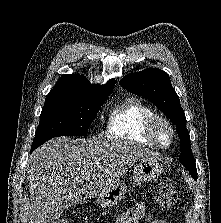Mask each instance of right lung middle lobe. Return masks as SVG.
I'll return each mask as SVG.
<instances>
[{
    "label": "right lung middle lobe",
    "instance_id": "1",
    "mask_svg": "<svg viewBox=\"0 0 221 223\" xmlns=\"http://www.w3.org/2000/svg\"><path fill=\"white\" fill-rule=\"evenodd\" d=\"M107 98L45 103L31 150L57 136H85Z\"/></svg>",
    "mask_w": 221,
    "mask_h": 223
}]
</instances>
